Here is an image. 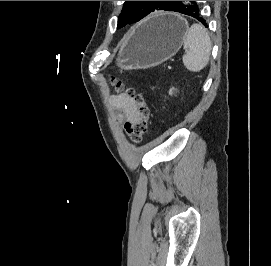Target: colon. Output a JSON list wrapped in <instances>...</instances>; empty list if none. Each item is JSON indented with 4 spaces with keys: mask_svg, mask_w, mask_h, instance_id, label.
<instances>
[{
    "mask_svg": "<svg viewBox=\"0 0 271 266\" xmlns=\"http://www.w3.org/2000/svg\"><path fill=\"white\" fill-rule=\"evenodd\" d=\"M111 81L116 88H121L120 82L114 78H112ZM126 92L133 98L138 116L134 121L125 124V131L132 142L139 143L143 140L148 131L150 109L141 94L136 93L132 89H128Z\"/></svg>",
    "mask_w": 271,
    "mask_h": 266,
    "instance_id": "5ec220e1",
    "label": "colon"
}]
</instances>
